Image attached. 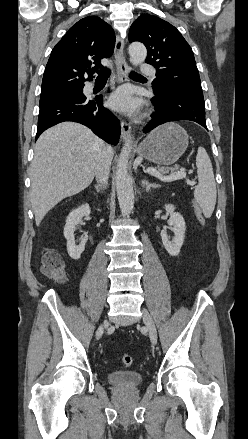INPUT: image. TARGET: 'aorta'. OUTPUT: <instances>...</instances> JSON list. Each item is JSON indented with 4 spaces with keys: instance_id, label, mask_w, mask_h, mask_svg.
Segmentation results:
<instances>
[{
    "instance_id": "762f6f07",
    "label": "aorta",
    "mask_w": 248,
    "mask_h": 439,
    "mask_svg": "<svg viewBox=\"0 0 248 439\" xmlns=\"http://www.w3.org/2000/svg\"><path fill=\"white\" fill-rule=\"evenodd\" d=\"M129 56L132 65L137 66L145 61L146 47L139 42L129 46ZM131 152V139L123 146L119 155L116 170V191L122 216H129L134 208V191L132 178L128 173V158Z\"/></svg>"
}]
</instances>
